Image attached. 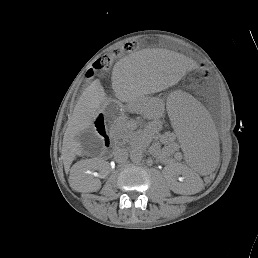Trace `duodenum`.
<instances>
[{
	"instance_id": "410a0bca",
	"label": "duodenum",
	"mask_w": 258,
	"mask_h": 258,
	"mask_svg": "<svg viewBox=\"0 0 258 258\" xmlns=\"http://www.w3.org/2000/svg\"><path fill=\"white\" fill-rule=\"evenodd\" d=\"M100 130H102L103 139H104V141H105V143H106V146H108L109 141H110V136H109V134L107 133V131L104 129V124H101Z\"/></svg>"
}]
</instances>
